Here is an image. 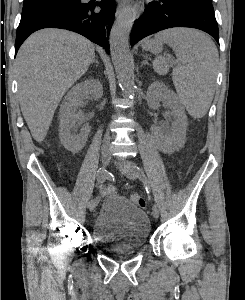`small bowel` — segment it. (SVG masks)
<instances>
[{"label": "small bowel", "instance_id": "c3829d8e", "mask_svg": "<svg viewBox=\"0 0 245 300\" xmlns=\"http://www.w3.org/2000/svg\"><path fill=\"white\" fill-rule=\"evenodd\" d=\"M100 189L103 191H112L113 187H111V186L105 187L104 185L100 184Z\"/></svg>", "mask_w": 245, "mask_h": 300}]
</instances>
